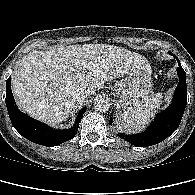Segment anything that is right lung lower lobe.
<instances>
[{
  "mask_svg": "<svg viewBox=\"0 0 195 195\" xmlns=\"http://www.w3.org/2000/svg\"><path fill=\"white\" fill-rule=\"evenodd\" d=\"M6 106L14 128L26 139L43 146L53 147L72 139L79 127L80 120L86 111L83 108L77 115L75 124L69 129L54 130L26 114L22 113L15 104L11 91V78L6 82Z\"/></svg>",
  "mask_w": 195,
  "mask_h": 195,
  "instance_id": "1",
  "label": "right lung lower lobe"
}]
</instances>
